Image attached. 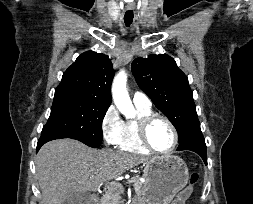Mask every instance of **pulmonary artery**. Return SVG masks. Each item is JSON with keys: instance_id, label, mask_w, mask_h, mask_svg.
<instances>
[{"instance_id": "obj_1", "label": "pulmonary artery", "mask_w": 253, "mask_h": 204, "mask_svg": "<svg viewBox=\"0 0 253 204\" xmlns=\"http://www.w3.org/2000/svg\"><path fill=\"white\" fill-rule=\"evenodd\" d=\"M133 103L139 107L151 108V100L149 99V97L146 94H144L140 91L134 92Z\"/></svg>"}]
</instances>
